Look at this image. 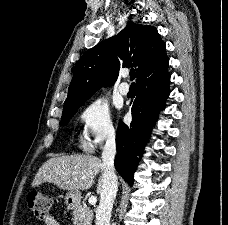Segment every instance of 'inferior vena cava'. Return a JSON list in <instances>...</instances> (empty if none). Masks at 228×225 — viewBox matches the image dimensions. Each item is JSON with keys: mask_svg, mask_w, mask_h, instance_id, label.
Here are the masks:
<instances>
[{"mask_svg": "<svg viewBox=\"0 0 228 225\" xmlns=\"http://www.w3.org/2000/svg\"><path fill=\"white\" fill-rule=\"evenodd\" d=\"M116 155L115 133L108 135L103 147V175L100 193V205L96 211L95 225H110L111 211L118 189V179L115 175L114 157Z\"/></svg>", "mask_w": 228, "mask_h": 225, "instance_id": "obj_1", "label": "inferior vena cava"}]
</instances>
